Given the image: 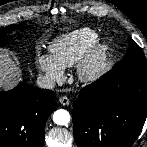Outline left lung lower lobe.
I'll use <instances>...</instances> for the list:
<instances>
[{"mask_svg":"<svg viewBox=\"0 0 147 147\" xmlns=\"http://www.w3.org/2000/svg\"><path fill=\"white\" fill-rule=\"evenodd\" d=\"M72 117L78 147H131L147 117V69L115 64L80 91Z\"/></svg>","mask_w":147,"mask_h":147,"instance_id":"left-lung-lower-lobe-1","label":"left lung lower lobe"}]
</instances>
